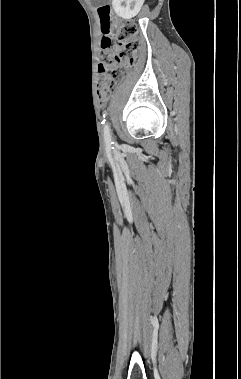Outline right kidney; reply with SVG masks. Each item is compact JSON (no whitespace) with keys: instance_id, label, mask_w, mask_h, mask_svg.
Segmentation results:
<instances>
[{"instance_id":"1","label":"right kidney","mask_w":241,"mask_h":379,"mask_svg":"<svg viewBox=\"0 0 241 379\" xmlns=\"http://www.w3.org/2000/svg\"><path fill=\"white\" fill-rule=\"evenodd\" d=\"M143 3L144 0H113L112 6L119 17L129 20L139 13Z\"/></svg>"}]
</instances>
